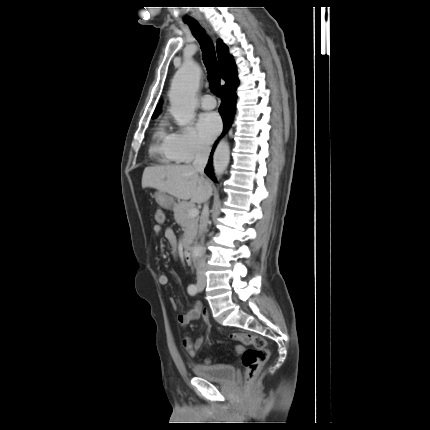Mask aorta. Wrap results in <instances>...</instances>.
Listing matches in <instances>:
<instances>
[{"mask_svg": "<svg viewBox=\"0 0 430 430\" xmlns=\"http://www.w3.org/2000/svg\"><path fill=\"white\" fill-rule=\"evenodd\" d=\"M200 68L195 63H186L175 74L169 91L170 112L179 126L189 124L195 116L196 93L199 87ZM230 160V147L221 140L213 156L216 175H221ZM204 254V248L195 245L192 249V259L198 260Z\"/></svg>", "mask_w": 430, "mask_h": 430, "instance_id": "obj_1", "label": "aorta"}]
</instances>
